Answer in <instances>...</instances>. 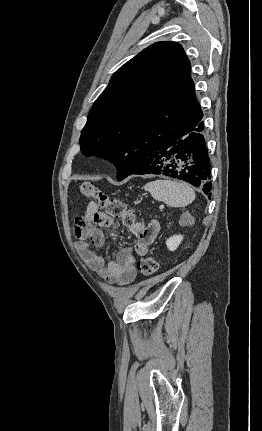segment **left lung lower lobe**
<instances>
[{"mask_svg": "<svg viewBox=\"0 0 262 431\" xmlns=\"http://www.w3.org/2000/svg\"><path fill=\"white\" fill-rule=\"evenodd\" d=\"M203 131L202 114L139 158L130 174H162L186 181L209 193L210 160Z\"/></svg>", "mask_w": 262, "mask_h": 431, "instance_id": "obj_1", "label": "left lung lower lobe"}]
</instances>
